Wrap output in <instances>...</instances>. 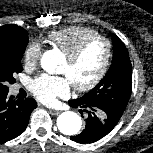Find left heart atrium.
Masks as SVG:
<instances>
[{
    "mask_svg": "<svg viewBox=\"0 0 153 153\" xmlns=\"http://www.w3.org/2000/svg\"><path fill=\"white\" fill-rule=\"evenodd\" d=\"M30 88L41 102L53 105L58 98H65L69 95L71 82L67 76L42 74L31 82Z\"/></svg>",
    "mask_w": 153,
    "mask_h": 153,
    "instance_id": "obj_1",
    "label": "left heart atrium"
}]
</instances>
